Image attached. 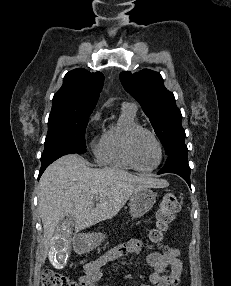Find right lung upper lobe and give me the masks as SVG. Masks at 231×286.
Wrapping results in <instances>:
<instances>
[{
	"label": "right lung upper lobe",
	"mask_w": 231,
	"mask_h": 286,
	"mask_svg": "<svg viewBox=\"0 0 231 286\" xmlns=\"http://www.w3.org/2000/svg\"><path fill=\"white\" fill-rule=\"evenodd\" d=\"M104 82L100 72L78 68L68 72L54 95L52 110L93 111Z\"/></svg>",
	"instance_id": "cb5924a9"
}]
</instances>
